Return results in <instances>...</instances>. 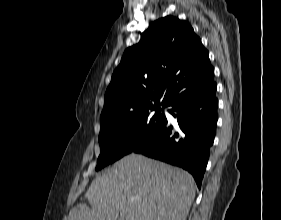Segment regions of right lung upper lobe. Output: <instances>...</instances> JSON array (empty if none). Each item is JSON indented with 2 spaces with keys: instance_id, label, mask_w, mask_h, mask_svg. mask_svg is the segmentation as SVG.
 Returning a JSON list of instances; mask_svg holds the SVG:
<instances>
[{
  "instance_id": "cb5924a9",
  "label": "right lung upper lobe",
  "mask_w": 281,
  "mask_h": 220,
  "mask_svg": "<svg viewBox=\"0 0 281 220\" xmlns=\"http://www.w3.org/2000/svg\"><path fill=\"white\" fill-rule=\"evenodd\" d=\"M208 51L185 21L152 22L138 44L125 50L105 93L101 128L134 112L168 106L182 94L208 87L214 69Z\"/></svg>"
}]
</instances>
